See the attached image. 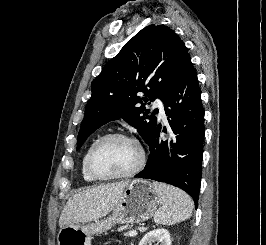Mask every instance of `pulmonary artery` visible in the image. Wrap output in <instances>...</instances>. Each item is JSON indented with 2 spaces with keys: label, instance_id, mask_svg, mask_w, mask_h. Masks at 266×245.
Instances as JSON below:
<instances>
[{
  "label": "pulmonary artery",
  "instance_id": "pulmonary-artery-1",
  "mask_svg": "<svg viewBox=\"0 0 266 245\" xmlns=\"http://www.w3.org/2000/svg\"><path fill=\"white\" fill-rule=\"evenodd\" d=\"M153 107L157 108L159 110L160 117L165 119V110H164V104L160 100H155L153 102Z\"/></svg>",
  "mask_w": 266,
  "mask_h": 245
}]
</instances>
